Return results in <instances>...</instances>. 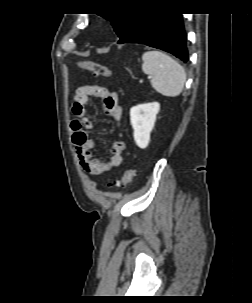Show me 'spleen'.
Returning a JSON list of instances; mask_svg holds the SVG:
<instances>
[{
  "mask_svg": "<svg viewBox=\"0 0 252 303\" xmlns=\"http://www.w3.org/2000/svg\"><path fill=\"white\" fill-rule=\"evenodd\" d=\"M142 60V70L152 76L151 85L158 93L176 97L182 92L186 73L177 61L157 50L145 52Z\"/></svg>",
  "mask_w": 252,
  "mask_h": 303,
  "instance_id": "spleen-1",
  "label": "spleen"
}]
</instances>
